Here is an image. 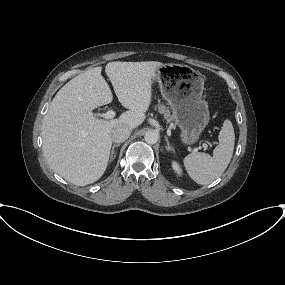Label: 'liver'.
Instances as JSON below:
<instances>
[{
	"label": "liver",
	"instance_id": "obj_1",
	"mask_svg": "<svg viewBox=\"0 0 285 285\" xmlns=\"http://www.w3.org/2000/svg\"><path fill=\"white\" fill-rule=\"evenodd\" d=\"M157 61L109 62L105 72L119 102L129 109L119 118L98 119L92 110L110 103L111 90L102 68L89 69L66 83L53 98L42 124L43 152L51 169L65 180L85 186L105 172L117 125H141L151 104Z\"/></svg>",
	"mask_w": 285,
	"mask_h": 285
}]
</instances>
